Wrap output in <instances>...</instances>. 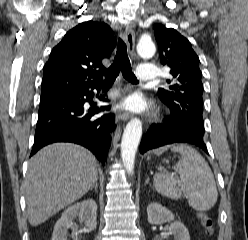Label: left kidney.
Returning a JSON list of instances; mask_svg holds the SVG:
<instances>
[{
	"instance_id": "5707ae66",
	"label": "left kidney",
	"mask_w": 248,
	"mask_h": 240,
	"mask_svg": "<svg viewBox=\"0 0 248 240\" xmlns=\"http://www.w3.org/2000/svg\"><path fill=\"white\" fill-rule=\"evenodd\" d=\"M148 222L158 225L169 222V233L174 235V240H190L187 228L180 221H174V214L158 203H151L147 207Z\"/></svg>"
}]
</instances>
